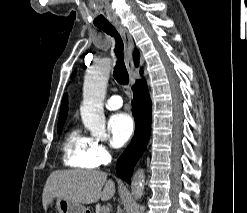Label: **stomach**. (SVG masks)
<instances>
[{
  "label": "stomach",
  "mask_w": 247,
  "mask_h": 213,
  "mask_svg": "<svg viewBox=\"0 0 247 213\" xmlns=\"http://www.w3.org/2000/svg\"><path fill=\"white\" fill-rule=\"evenodd\" d=\"M54 199L48 205H52ZM58 213H88V209L80 203L72 202L63 198H55Z\"/></svg>",
  "instance_id": "1"
}]
</instances>
